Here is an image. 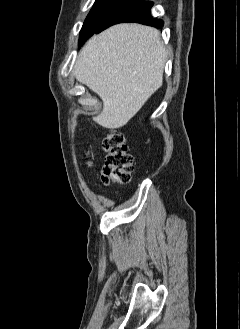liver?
<instances>
[{
  "label": "liver",
  "mask_w": 240,
  "mask_h": 329,
  "mask_svg": "<svg viewBox=\"0 0 240 329\" xmlns=\"http://www.w3.org/2000/svg\"><path fill=\"white\" fill-rule=\"evenodd\" d=\"M166 57L160 33L152 27L118 24L94 35L73 70L103 101L93 119L104 128L124 126L161 87Z\"/></svg>",
  "instance_id": "6515ba94"
}]
</instances>
